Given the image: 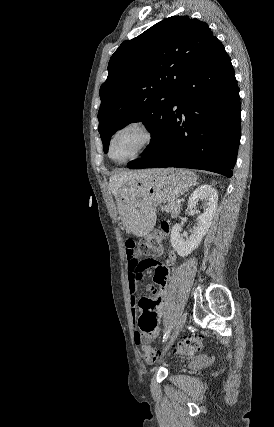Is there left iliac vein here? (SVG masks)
<instances>
[{
	"label": "left iliac vein",
	"mask_w": 274,
	"mask_h": 427,
	"mask_svg": "<svg viewBox=\"0 0 274 427\" xmlns=\"http://www.w3.org/2000/svg\"><path fill=\"white\" fill-rule=\"evenodd\" d=\"M186 315L185 314H181L178 318L176 327L174 329L173 334L170 337V340L168 341L166 347L163 350V356L167 353V351L169 350V348L171 347L173 341L176 339V337L178 336L179 332L183 329L185 323H186Z\"/></svg>",
	"instance_id": "obj_1"
}]
</instances>
